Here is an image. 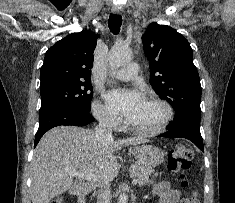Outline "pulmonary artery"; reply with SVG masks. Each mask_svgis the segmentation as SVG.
Segmentation results:
<instances>
[{"label":"pulmonary artery","instance_id":"1","mask_svg":"<svg viewBox=\"0 0 235 203\" xmlns=\"http://www.w3.org/2000/svg\"><path fill=\"white\" fill-rule=\"evenodd\" d=\"M138 69L139 66L137 63H130L127 66L115 71L112 75L116 79L128 81L137 76Z\"/></svg>","mask_w":235,"mask_h":203}]
</instances>
